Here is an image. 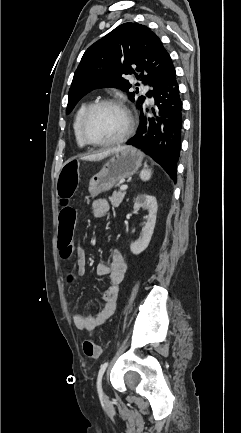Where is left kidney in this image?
<instances>
[{"label":"left kidney","mask_w":241,"mask_h":433,"mask_svg":"<svg viewBox=\"0 0 241 433\" xmlns=\"http://www.w3.org/2000/svg\"><path fill=\"white\" fill-rule=\"evenodd\" d=\"M140 208L147 209L149 213L140 238L130 245V250L135 255L140 254L148 247L153 235L158 208L156 198L146 194L139 195L134 203V209L139 210Z\"/></svg>","instance_id":"5707ae66"}]
</instances>
